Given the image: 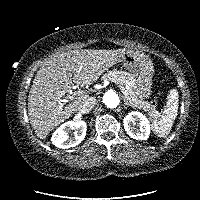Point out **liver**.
I'll return each instance as SVG.
<instances>
[{
	"label": "liver",
	"instance_id": "6515ba94",
	"mask_svg": "<svg viewBox=\"0 0 200 200\" xmlns=\"http://www.w3.org/2000/svg\"><path fill=\"white\" fill-rule=\"evenodd\" d=\"M126 51L125 48L77 49L47 59L37 71L28 96V116L35 134L44 139L78 110L85 97H90V91L85 90L77 93L69 104L63 102L73 83L91 85L96 82Z\"/></svg>",
	"mask_w": 200,
	"mask_h": 200
}]
</instances>
